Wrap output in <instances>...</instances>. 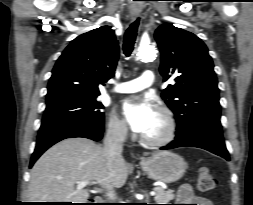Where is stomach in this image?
<instances>
[{"label": "stomach", "mask_w": 253, "mask_h": 205, "mask_svg": "<svg viewBox=\"0 0 253 205\" xmlns=\"http://www.w3.org/2000/svg\"><path fill=\"white\" fill-rule=\"evenodd\" d=\"M142 170L152 179L172 183L180 179L187 168L184 159L170 151L157 152L141 163Z\"/></svg>", "instance_id": "obj_1"}]
</instances>
